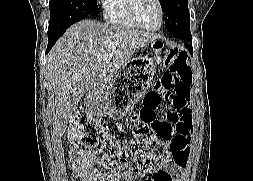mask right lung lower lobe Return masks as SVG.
<instances>
[{"mask_svg":"<svg viewBox=\"0 0 253 181\" xmlns=\"http://www.w3.org/2000/svg\"><path fill=\"white\" fill-rule=\"evenodd\" d=\"M66 30L64 31H61L55 35H51V36H48V46H47V50H46V53L49 52V50L54 46V44L56 43V41L63 35V33L65 32Z\"/></svg>","mask_w":253,"mask_h":181,"instance_id":"1","label":"right lung lower lobe"}]
</instances>
